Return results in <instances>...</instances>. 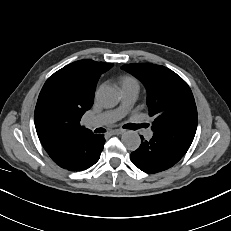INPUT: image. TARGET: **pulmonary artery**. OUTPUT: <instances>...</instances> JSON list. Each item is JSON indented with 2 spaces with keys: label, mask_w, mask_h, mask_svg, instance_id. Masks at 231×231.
I'll list each match as a JSON object with an SVG mask.
<instances>
[{
  "label": "pulmonary artery",
  "mask_w": 231,
  "mask_h": 231,
  "mask_svg": "<svg viewBox=\"0 0 231 231\" xmlns=\"http://www.w3.org/2000/svg\"><path fill=\"white\" fill-rule=\"evenodd\" d=\"M138 95L137 90H123L122 97L123 103L116 110L107 111L95 116H92L86 120V125L88 127H100L103 125H108L119 120L125 112L128 110L129 106L135 101ZM145 138L150 139L152 134L150 132L144 133Z\"/></svg>",
  "instance_id": "obj_1"
}]
</instances>
